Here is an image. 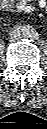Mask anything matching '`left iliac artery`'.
Listing matches in <instances>:
<instances>
[{"label":"left iliac artery","instance_id":"1","mask_svg":"<svg viewBox=\"0 0 47 129\" xmlns=\"http://www.w3.org/2000/svg\"><path fill=\"white\" fill-rule=\"evenodd\" d=\"M32 38L33 39H38L39 38V34L37 32L32 31Z\"/></svg>","mask_w":47,"mask_h":129}]
</instances>
